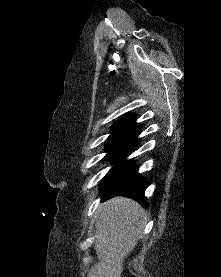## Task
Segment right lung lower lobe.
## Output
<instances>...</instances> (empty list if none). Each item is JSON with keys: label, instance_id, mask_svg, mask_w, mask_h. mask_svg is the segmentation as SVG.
<instances>
[{"label": "right lung lower lobe", "instance_id": "right-lung-lower-lobe-1", "mask_svg": "<svg viewBox=\"0 0 221 277\" xmlns=\"http://www.w3.org/2000/svg\"><path fill=\"white\" fill-rule=\"evenodd\" d=\"M125 162L120 168L106 176L100 194L103 200L114 196H127L147 207L144 191L147 187L142 176L137 174V167Z\"/></svg>", "mask_w": 221, "mask_h": 277}]
</instances>
